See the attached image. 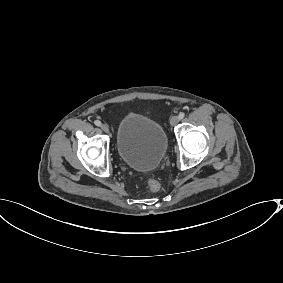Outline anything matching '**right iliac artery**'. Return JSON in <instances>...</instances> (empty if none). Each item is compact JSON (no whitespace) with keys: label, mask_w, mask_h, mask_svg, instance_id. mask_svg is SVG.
<instances>
[{"label":"right iliac artery","mask_w":283,"mask_h":283,"mask_svg":"<svg viewBox=\"0 0 283 283\" xmlns=\"http://www.w3.org/2000/svg\"><path fill=\"white\" fill-rule=\"evenodd\" d=\"M94 124H95L96 126H101V121L96 120V121L94 122Z\"/></svg>","instance_id":"right-iliac-artery-1"}]
</instances>
